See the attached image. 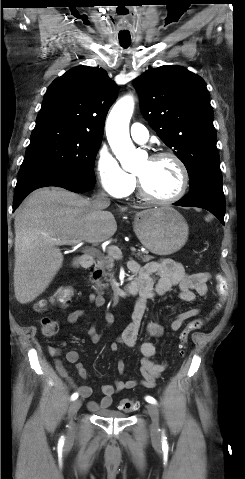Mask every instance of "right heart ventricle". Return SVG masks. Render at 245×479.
Here are the masks:
<instances>
[{
    "label": "right heart ventricle",
    "mask_w": 245,
    "mask_h": 479,
    "mask_svg": "<svg viewBox=\"0 0 245 479\" xmlns=\"http://www.w3.org/2000/svg\"><path fill=\"white\" fill-rule=\"evenodd\" d=\"M131 177V187L129 188V190L127 191L126 195H129L130 193H132L136 187V180H135V176L134 175H130ZM125 195V196H126Z\"/></svg>",
    "instance_id": "obj_1"
}]
</instances>
